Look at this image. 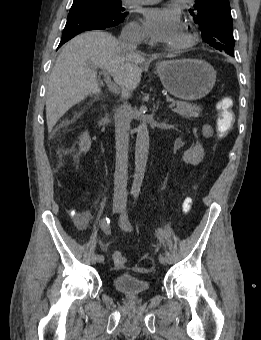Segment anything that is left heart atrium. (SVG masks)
<instances>
[{"mask_svg": "<svg viewBox=\"0 0 261 340\" xmlns=\"http://www.w3.org/2000/svg\"><path fill=\"white\" fill-rule=\"evenodd\" d=\"M143 23L147 34L160 44H171L182 27L179 13L167 7L144 9Z\"/></svg>", "mask_w": 261, "mask_h": 340, "instance_id": "obj_1", "label": "left heart atrium"}]
</instances>
